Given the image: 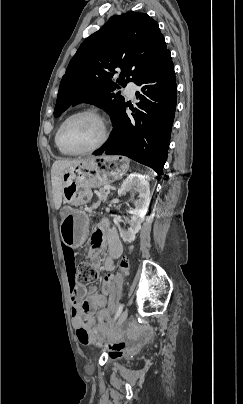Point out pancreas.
Segmentation results:
<instances>
[{"label":"pancreas","mask_w":243,"mask_h":404,"mask_svg":"<svg viewBox=\"0 0 243 404\" xmlns=\"http://www.w3.org/2000/svg\"><path fill=\"white\" fill-rule=\"evenodd\" d=\"M98 194H99V196H98L97 204H93V206H91V208H89V210H87V212H89L90 216H91V214H93L92 210H94V208H97V206H99V204H101V202H104V200H106L109 192H106V190H104V188H100Z\"/></svg>","instance_id":"1"}]
</instances>
